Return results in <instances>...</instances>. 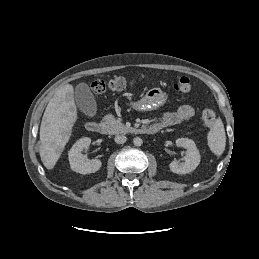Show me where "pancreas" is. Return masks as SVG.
I'll return each instance as SVG.
<instances>
[{
	"label": "pancreas",
	"instance_id": "1",
	"mask_svg": "<svg viewBox=\"0 0 259 259\" xmlns=\"http://www.w3.org/2000/svg\"><path fill=\"white\" fill-rule=\"evenodd\" d=\"M107 132L111 135L114 134H125L128 132H131L132 128H129L125 126L122 122L119 120H116L112 115H106L103 119L102 123Z\"/></svg>",
	"mask_w": 259,
	"mask_h": 259
}]
</instances>
